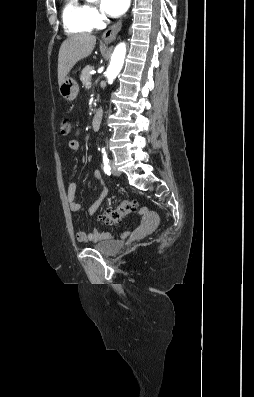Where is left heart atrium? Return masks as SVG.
Masks as SVG:
<instances>
[{"mask_svg": "<svg viewBox=\"0 0 254 397\" xmlns=\"http://www.w3.org/2000/svg\"><path fill=\"white\" fill-rule=\"evenodd\" d=\"M130 0H101L103 12L112 17L122 15L128 8Z\"/></svg>", "mask_w": 254, "mask_h": 397, "instance_id": "39dd6f15", "label": "left heart atrium"}]
</instances>
